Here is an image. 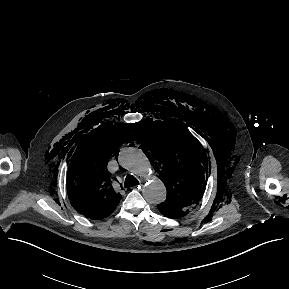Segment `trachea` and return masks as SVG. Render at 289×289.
Listing matches in <instances>:
<instances>
[{
    "mask_svg": "<svg viewBox=\"0 0 289 289\" xmlns=\"http://www.w3.org/2000/svg\"><path fill=\"white\" fill-rule=\"evenodd\" d=\"M138 184H139L138 180L133 175L126 176L125 182H124L125 188L136 186Z\"/></svg>",
    "mask_w": 289,
    "mask_h": 289,
    "instance_id": "obj_1",
    "label": "trachea"
}]
</instances>
